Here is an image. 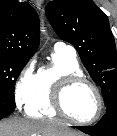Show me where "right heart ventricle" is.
Here are the masks:
<instances>
[{"instance_id":"e07e8e85","label":"right heart ventricle","mask_w":117,"mask_h":136,"mask_svg":"<svg viewBox=\"0 0 117 136\" xmlns=\"http://www.w3.org/2000/svg\"><path fill=\"white\" fill-rule=\"evenodd\" d=\"M69 74H82L77 58L55 51L52 64L37 72L35 93L25 105L26 114L34 118L56 117L51 104L52 91L57 81Z\"/></svg>"}]
</instances>
